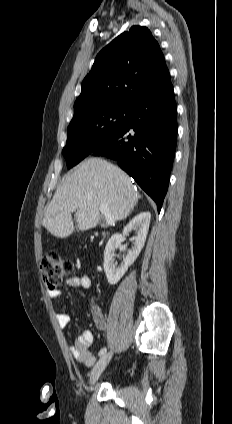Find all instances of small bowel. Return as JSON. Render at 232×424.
Returning <instances> with one entry per match:
<instances>
[{"instance_id": "1", "label": "small bowel", "mask_w": 232, "mask_h": 424, "mask_svg": "<svg viewBox=\"0 0 232 424\" xmlns=\"http://www.w3.org/2000/svg\"><path fill=\"white\" fill-rule=\"evenodd\" d=\"M66 285L69 288H85L91 289L93 287V283L89 276L85 273H81L75 276L70 277L66 280ZM48 295L55 299L57 302L61 299V291L58 288L48 289ZM91 314L93 316L94 323L99 330H106L108 323L105 316L102 314L100 308L96 305L91 306ZM56 319L58 324L61 327H66L70 321L71 317L66 312H58L56 314ZM93 341V334L90 330L85 329L79 332L75 339L74 343L70 348L71 355L81 364L90 366L94 362V356L89 351V346Z\"/></svg>"}]
</instances>
